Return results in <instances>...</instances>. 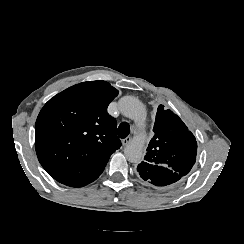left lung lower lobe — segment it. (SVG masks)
Segmentation results:
<instances>
[{"mask_svg":"<svg viewBox=\"0 0 244 244\" xmlns=\"http://www.w3.org/2000/svg\"><path fill=\"white\" fill-rule=\"evenodd\" d=\"M137 171L139 172V174H140V177L143 179V180H145V181H147V182H149V183H151V184H153V185H155V186H167V185H170V184H173V183H175V182H177V181H179L182 177H175V178H173V179H170V180H163V179H160V178H156V177H154L151 173H149V172H143V171H140L138 168H137Z\"/></svg>","mask_w":244,"mask_h":244,"instance_id":"0a47b994","label":"left lung lower lobe"}]
</instances>
